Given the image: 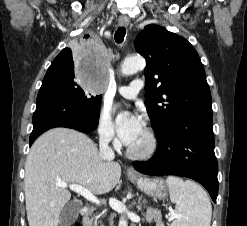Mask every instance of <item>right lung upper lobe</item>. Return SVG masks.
<instances>
[{
	"mask_svg": "<svg viewBox=\"0 0 247 226\" xmlns=\"http://www.w3.org/2000/svg\"><path fill=\"white\" fill-rule=\"evenodd\" d=\"M85 39L87 40H91L93 39V36L92 35H85L84 36ZM71 54V50L69 48H65L63 49L59 54L58 56L53 60V62L51 63V66H54L56 64L57 61L63 59V58H67L69 57Z\"/></svg>",
	"mask_w": 247,
	"mask_h": 226,
	"instance_id": "obj_1",
	"label": "right lung upper lobe"
}]
</instances>
